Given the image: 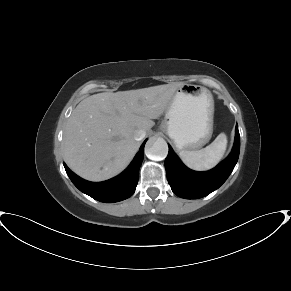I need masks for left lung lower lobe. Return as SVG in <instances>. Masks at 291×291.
I'll use <instances>...</instances> for the list:
<instances>
[{
    "label": "left lung lower lobe",
    "instance_id": "left-lung-lower-lobe-1",
    "mask_svg": "<svg viewBox=\"0 0 291 291\" xmlns=\"http://www.w3.org/2000/svg\"><path fill=\"white\" fill-rule=\"evenodd\" d=\"M240 135L236 125L235 143L230 155L214 169L197 172L187 168L169 146L165 159L167 179L172 191L185 199H198L218 189L233 171L239 157Z\"/></svg>",
    "mask_w": 291,
    "mask_h": 291
}]
</instances>
